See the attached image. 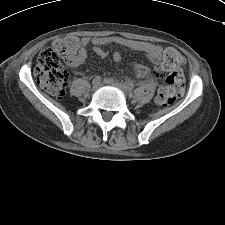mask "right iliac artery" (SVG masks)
Here are the masks:
<instances>
[{"instance_id":"1","label":"right iliac artery","mask_w":225,"mask_h":225,"mask_svg":"<svg viewBox=\"0 0 225 225\" xmlns=\"http://www.w3.org/2000/svg\"><path fill=\"white\" fill-rule=\"evenodd\" d=\"M101 82V77L100 76H96L94 79H93V81H92V83H100Z\"/></svg>"}]
</instances>
